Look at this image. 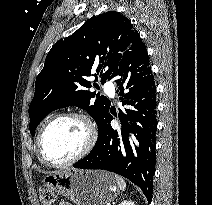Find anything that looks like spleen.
<instances>
[{"label": "spleen", "mask_w": 212, "mask_h": 205, "mask_svg": "<svg viewBox=\"0 0 212 205\" xmlns=\"http://www.w3.org/2000/svg\"><path fill=\"white\" fill-rule=\"evenodd\" d=\"M116 181L118 184V187L121 191H124L126 189V182L121 176H116Z\"/></svg>", "instance_id": "3e777b00"}]
</instances>
